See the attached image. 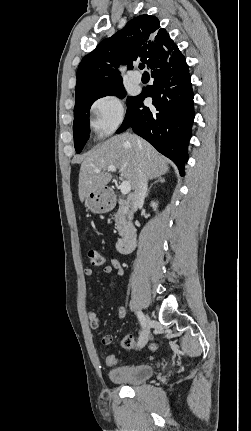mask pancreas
<instances>
[{
	"instance_id": "cf45deb5",
	"label": "pancreas",
	"mask_w": 251,
	"mask_h": 431,
	"mask_svg": "<svg viewBox=\"0 0 251 431\" xmlns=\"http://www.w3.org/2000/svg\"><path fill=\"white\" fill-rule=\"evenodd\" d=\"M128 216H129V210L124 206H120L118 212L115 214V217H114L115 226L120 236L125 235L126 227L128 224V219H127Z\"/></svg>"
}]
</instances>
